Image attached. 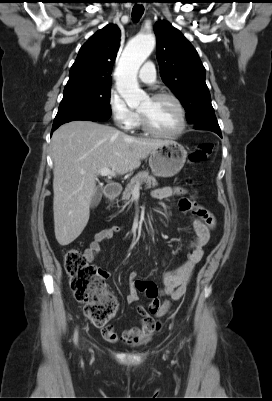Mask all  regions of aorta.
I'll return each instance as SVG.
<instances>
[{
    "mask_svg": "<svg viewBox=\"0 0 272 401\" xmlns=\"http://www.w3.org/2000/svg\"><path fill=\"white\" fill-rule=\"evenodd\" d=\"M154 47V36H137L127 44L120 58L115 71L116 88L129 107H137L147 99V94L139 88L137 73Z\"/></svg>",
    "mask_w": 272,
    "mask_h": 401,
    "instance_id": "1",
    "label": "aorta"
}]
</instances>
